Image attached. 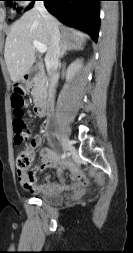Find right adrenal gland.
<instances>
[{"instance_id":"1","label":"right adrenal gland","mask_w":133,"mask_h":253,"mask_svg":"<svg viewBox=\"0 0 133 253\" xmlns=\"http://www.w3.org/2000/svg\"><path fill=\"white\" fill-rule=\"evenodd\" d=\"M61 53H60V58H62L67 51L70 50H76V49H80V45L75 44L74 42H71L70 39L66 36L62 37V41H61Z\"/></svg>"}]
</instances>
